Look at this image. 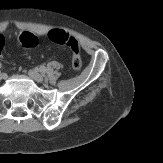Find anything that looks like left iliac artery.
<instances>
[{
    "mask_svg": "<svg viewBox=\"0 0 163 163\" xmlns=\"http://www.w3.org/2000/svg\"><path fill=\"white\" fill-rule=\"evenodd\" d=\"M38 69V68H37ZM42 74L46 73V68L44 66H40L38 69Z\"/></svg>",
    "mask_w": 163,
    "mask_h": 163,
    "instance_id": "left-iliac-artery-1",
    "label": "left iliac artery"
}]
</instances>
